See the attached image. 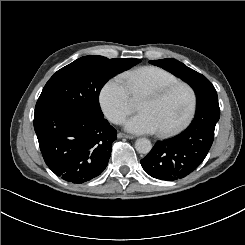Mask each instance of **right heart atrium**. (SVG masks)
I'll list each match as a JSON object with an SVG mask.
<instances>
[{"label":"right heart atrium","mask_w":245,"mask_h":245,"mask_svg":"<svg viewBox=\"0 0 245 245\" xmlns=\"http://www.w3.org/2000/svg\"><path fill=\"white\" fill-rule=\"evenodd\" d=\"M99 101L108 119L119 124L130 112L132 96L128 86L119 77H112L103 85Z\"/></svg>","instance_id":"1"}]
</instances>
